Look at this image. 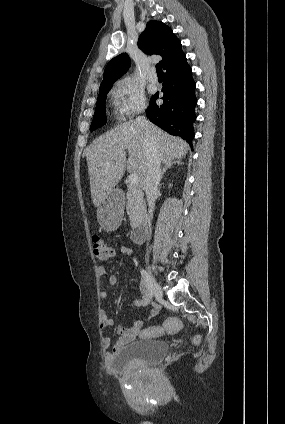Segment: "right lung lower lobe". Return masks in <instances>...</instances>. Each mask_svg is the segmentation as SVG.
I'll return each instance as SVG.
<instances>
[{
    "label": "right lung lower lobe",
    "instance_id": "1",
    "mask_svg": "<svg viewBox=\"0 0 285 424\" xmlns=\"http://www.w3.org/2000/svg\"><path fill=\"white\" fill-rule=\"evenodd\" d=\"M196 83L186 58L168 68L162 87L163 104L157 105L158 93L152 96L146 115L149 120L174 136H180L190 146L194 138L193 122L196 120Z\"/></svg>",
    "mask_w": 285,
    "mask_h": 424
}]
</instances>
